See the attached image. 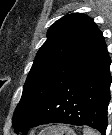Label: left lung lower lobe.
<instances>
[{
	"label": "left lung lower lobe",
	"instance_id": "1",
	"mask_svg": "<svg viewBox=\"0 0 112 135\" xmlns=\"http://www.w3.org/2000/svg\"><path fill=\"white\" fill-rule=\"evenodd\" d=\"M111 60L102 39L22 129L48 123L87 125L105 135L110 101Z\"/></svg>",
	"mask_w": 112,
	"mask_h": 135
}]
</instances>
